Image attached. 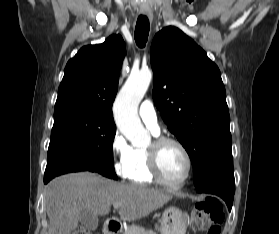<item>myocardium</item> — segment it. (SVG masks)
<instances>
[{
	"label": "myocardium",
	"instance_id": "f54148a6",
	"mask_svg": "<svg viewBox=\"0 0 279 234\" xmlns=\"http://www.w3.org/2000/svg\"><path fill=\"white\" fill-rule=\"evenodd\" d=\"M166 144L176 145L182 151L186 159L187 168L185 175L178 182H169L165 179L161 172L160 154L162 148ZM148 162L149 169L154 180L159 184L173 190L179 189L184 186L189 180L193 170V159L187 147L180 140L170 136H158L153 140L151 145L148 147Z\"/></svg>",
	"mask_w": 279,
	"mask_h": 234
}]
</instances>
